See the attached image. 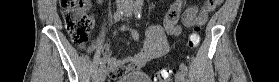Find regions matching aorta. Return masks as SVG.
I'll return each instance as SVG.
<instances>
[{"label":"aorta","mask_w":279,"mask_h":82,"mask_svg":"<svg viewBox=\"0 0 279 82\" xmlns=\"http://www.w3.org/2000/svg\"><path fill=\"white\" fill-rule=\"evenodd\" d=\"M142 0H136V5L138 6V7H140L141 5H142Z\"/></svg>","instance_id":"1"}]
</instances>
